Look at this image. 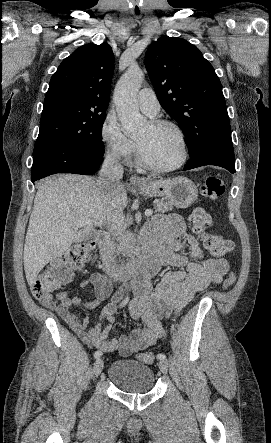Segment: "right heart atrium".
<instances>
[{
    "label": "right heart atrium",
    "mask_w": 271,
    "mask_h": 443,
    "mask_svg": "<svg viewBox=\"0 0 271 443\" xmlns=\"http://www.w3.org/2000/svg\"><path fill=\"white\" fill-rule=\"evenodd\" d=\"M99 136L106 152L114 158L126 160L135 151L134 142L123 133L121 124L111 113L104 117Z\"/></svg>",
    "instance_id": "1"
}]
</instances>
